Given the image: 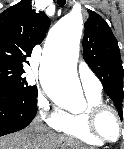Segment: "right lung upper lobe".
I'll return each mask as SVG.
<instances>
[{
	"mask_svg": "<svg viewBox=\"0 0 124 149\" xmlns=\"http://www.w3.org/2000/svg\"><path fill=\"white\" fill-rule=\"evenodd\" d=\"M50 25L44 12L36 13L31 0H21L0 14V66L23 70V63L40 44ZM24 71V70H23Z\"/></svg>",
	"mask_w": 124,
	"mask_h": 149,
	"instance_id": "right-lung-upper-lobe-1",
	"label": "right lung upper lobe"
}]
</instances>
